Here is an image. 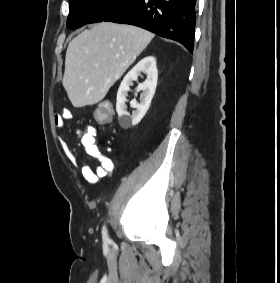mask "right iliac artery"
<instances>
[{
  "instance_id": "obj_1",
  "label": "right iliac artery",
  "mask_w": 280,
  "mask_h": 283,
  "mask_svg": "<svg viewBox=\"0 0 280 283\" xmlns=\"http://www.w3.org/2000/svg\"><path fill=\"white\" fill-rule=\"evenodd\" d=\"M102 235H103V241L104 243H109L110 242V239L107 235V229L106 227H103V230H102Z\"/></svg>"
}]
</instances>
